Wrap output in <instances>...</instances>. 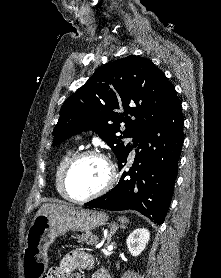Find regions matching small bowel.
<instances>
[{"label": "small bowel", "mask_w": 221, "mask_h": 278, "mask_svg": "<svg viewBox=\"0 0 221 278\" xmlns=\"http://www.w3.org/2000/svg\"><path fill=\"white\" fill-rule=\"evenodd\" d=\"M93 265L94 260L91 255L81 251H71L55 267V275L48 273L45 278H81L79 271L92 269ZM93 278H108V275L104 271H100Z\"/></svg>", "instance_id": "c3829d8e"}]
</instances>
